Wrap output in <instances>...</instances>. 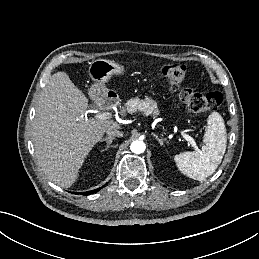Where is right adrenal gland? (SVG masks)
<instances>
[{
	"label": "right adrenal gland",
	"instance_id": "obj_1",
	"mask_svg": "<svg viewBox=\"0 0 259 259\" xmlns=\"http://www.w3.org/2000/svg\"><path fill=\"white\" fill-rule=\"evenodd\" d=\"M114 138H115L114 136H109V137H106V138H103L100 140V142H104V141L106 142L105 149H103L102 152H104L105 150H107L110 147Z\"/></svg>",
	"mask_w": 259,
	"mask_h": 259
}]
</instances>
